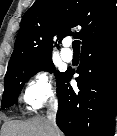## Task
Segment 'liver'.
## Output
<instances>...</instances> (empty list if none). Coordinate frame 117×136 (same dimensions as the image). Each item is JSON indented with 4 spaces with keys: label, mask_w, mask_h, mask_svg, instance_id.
Returning a JSON list of instances; mask_svg holds the SVG:
<instances>
[{
    "label": "liver",
    "mask_w": 117,
    "mask_h": 136,
    "mask_svg": "<svg viewBox=\"0 0 117 136\" xmlns=\"http://www.w3.org/2000/svg\"><path fill=\"white\" fill-rule=\"evenodd\" d=\"M2 136H62V133L49 120L37 117L5 123Z\"/></svg>",
    "instance_id": "obj_1"
}]
</instances>
